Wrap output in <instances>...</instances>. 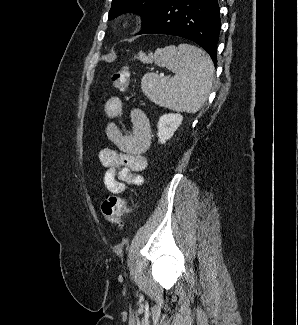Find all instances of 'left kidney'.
Wrapping results in <instances>:
<instances>
[{"mask_svg":"<svg viewBox=\"0 0 298 325\" xmlns=\"http://www.w3.org/2000/svg\"><path fill=\"white\" fill-rule=\"evenodd\" d=\"M182 120L183 116L182 114H178V112H167V114H162V116H160L157 124V134L160 144H164L168 138L173 136Z\"/></svg>","mask_w":298,"mask_h":325,"instance_id":"5707ae66","label":"left kidney"}]
</instances>
